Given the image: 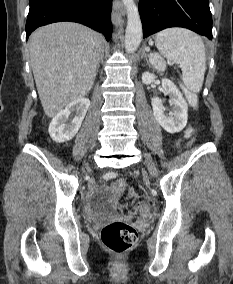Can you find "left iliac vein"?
I'll return each instance as SVG.
<instances>
[{
	"label": "left iliac vein",
	"instance_id": "4c4485c4",
	"mask_svg": "<svg viewBox=\"0 0 233 284\" xmlns=\"http://www.w3.org/2000/svg\"><path fill=\"white\" fill-rule=\"evenodd\" d=\"M144 157H145V163H146V165L148 167V170H149L150 174L155 176L156 173H157V170H156V165H155L154 161L147 154H145Z\"/></svg>",
	"mask_w": 233,
	"mask_h": 284
}]
</instances>
